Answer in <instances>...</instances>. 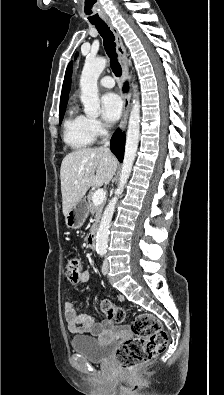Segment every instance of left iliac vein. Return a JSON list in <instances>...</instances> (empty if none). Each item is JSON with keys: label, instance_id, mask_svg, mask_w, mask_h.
<instances>
[{"label": "left iliac vein", "instance_id": "obj_1", "mask_svg": "<svg viewBox=\"0 0 224 395\" xmlns=\"http://www.w3.org/2000/svg\"><path fill=\"white\" fill-rule=\"evenodd\" d=\"M108 271H109V262L107 259H105L102 265V273L106 275Z\"/></svg>", "mask_w": 224, "mask_h": 395}]
</instances>
